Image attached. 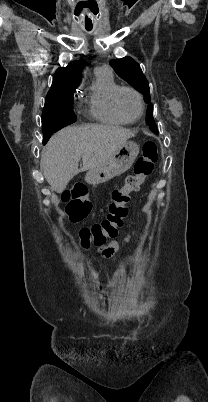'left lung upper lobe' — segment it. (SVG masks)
Instances as JSON below:
<instances>
[{
    "label": "left lung upper lobe",
    "mask_w": 208,
    "mask_h": 402,
    "mask_svg": "<svg viewBox=\"0 0 208 402\" xmlns=\"http://www.w3.org/2000/svg\"><path fill=\"white\" fill-rule=\"evenodd\" d=\"M110 65L115 72L127 81L130 85L141 91L145 97V101L150 103L149 84L144 76L140 65L131 57H124L121 59H114L110 61ZM147 122L153 133H158L154 118H153V106L149 105Z\"/></svg>",
    "instance_id": "1"
}]
</instances>
